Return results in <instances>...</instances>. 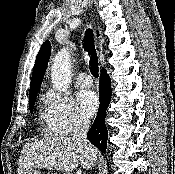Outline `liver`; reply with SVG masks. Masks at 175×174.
Instances as JSON below:
<instances>
[{
	"mask_svg": "<svg viewBox=\"0 0 175 174\" xmlns=\"http://www.w3.org/2000/svg\"><path fill=\"white\" fill-rule=\"evenodd\" d=\"M97 159L89 150L73 140L71 137H50L26 143L20 154L18 174L35 168L52 169L69 172L80 165L83 169H90Z\"/></svg>",
	"mask_w": 175,
	"mask_h": 174,
	"instance_id": "1",
	"label": "liver"
}]
</instances>
